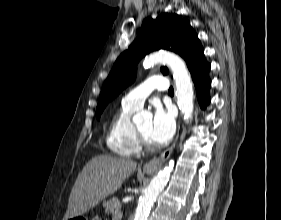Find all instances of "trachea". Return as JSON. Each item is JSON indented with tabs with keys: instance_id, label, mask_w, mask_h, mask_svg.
Segmentation results:
<instances>
[{
	"instance_id": "3493384b",
	"label": "trachea",
	"mask_w": 281,
	"mask_h": 220,
	"mask_svg": "<svg viewBox=\"0 0 281 220\" xmlns=\"http://www.w3.org/2000/svg\"><path fill=\"white\" fill-rule=\"evenodd\" d=\"M169 94H173L174 93V89H173V87L171 86L170 88H169Z\"/></svg>"
}]
</instances>
